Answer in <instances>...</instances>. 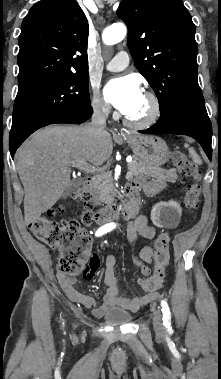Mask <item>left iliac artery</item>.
I'll list each match as a JSON object with an SVG mask.
<instances>
[{
  "instance_id": "obj_1",
  "label": "left iliac artery",
  "mask_w": 221,
  "mask_h": 379,
  "mask_svg": "<svg viewBox=\"0 0 221 379\" xmlns=\"http://www.w3.org/2000/svg\"><path fill=\"white\" fill-rule=\"evenodd\" d=\"M161 309L163 312V323L166 327L171 324L170 308L165 300L161 301Z\"/></svg>"
}]
</instances>
